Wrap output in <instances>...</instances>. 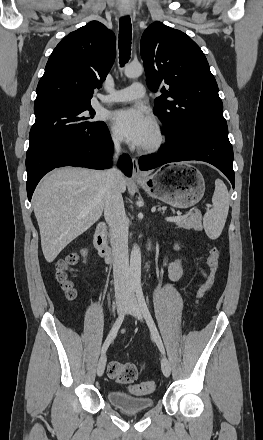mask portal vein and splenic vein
Returning <instances> with one entry per match:
<instances>
[{
	"mask_svg": "<svg viewBox=\"0 0 263 440\" xmlns=\"http://www.w3.org/2000/svg\"><path fill=\"white\" fill-rule=\"evenodd\" d=\"M207 207H209V205H207ZM184 218H185L184 215H177V216H174V217H167V218H166V221H167V222H180V221H182Z\"/></svg>",
	"mask_w": 263,
	"mask_h": 440,
	"instance_id": "1",
	"label": "portal vein and splenic vein"
}]
</instances>
